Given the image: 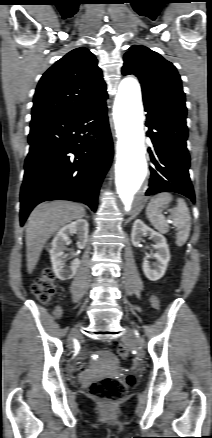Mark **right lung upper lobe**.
I'll return each instance as SVG.
<instances>
[{
	"label": "right lung upper lobe",
	"instance_id": "right-lung-upper-lobe-1",
	"mask_svg": "<svg viewBox=\"0 0 212 438\" xmlns=\"http://www.w3.org/2000/svg\"><path fill=\"white\" fill-rule=\"evenodd\" d=\"M107 97L97 59L87 48H77L43 74L34 95L32 121L90 110Z\"/></svg>",
	"mask_w": 212,
	"mask_h": 438
}]
</instances>
